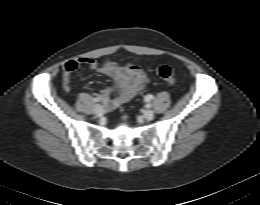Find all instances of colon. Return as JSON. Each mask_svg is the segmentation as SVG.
Instances as JSON below:
<instances>
[{"label":"colon","mask_w":260,"mask_h":205,"mask_svg":"<svg viewBox=\"0 0 260 205\" xmlns=\"http://www.w3.org/2000/svg\"><path fill=\"white\" fill-rule=\"evenodd\" d=\"M157 75L166 83L173 85L176 82V77L173 69L166 64H161L156 68Z\"/></svg>","instance_id":"5ec220e1"}]
</instances>
